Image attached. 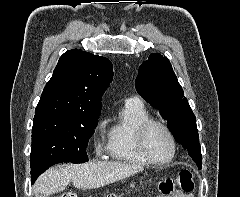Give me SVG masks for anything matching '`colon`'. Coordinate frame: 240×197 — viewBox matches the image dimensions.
<instances>
[{
  "label": "colon",
  "instance_id": "5ec220e1",
  "mask_svg": "<svg viewBox=\"0 0 240 197\" xmlns=\"http://www.w3.org/2000/svg\"><path fill=\"white\" fill-rule=\"evenodd\" d=\"M175 185H178L180 189L186 193L191 192L194 188V179L193 174L190 170H182L176 178H171L166 180L165 182L159 185V190L162 194L168 195L170 194ZM58 197H77V194L74 192H66ZM109 197H118L113 194Z\"/></svg>",
  "mask_w": 240,
  "mask_h": 197
}]
</instances>
